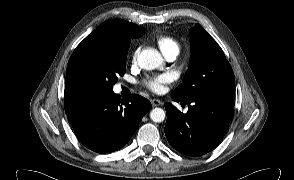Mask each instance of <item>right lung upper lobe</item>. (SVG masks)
<instances>
[{
    "label": "right lung upper lobe",
    "instance_id": "cb5924a9",
    "mask_svg": "<svg viewBox=\"0 0 294 180\" xmlns=\"http://www.w3.org/2000/svg\"><path fill=\"white\" fill-rule=\"evenodd\" d=\"M145 33V28L137 26L122 19H110L98 26L82 42L119 40L130 43L132 38H137Z\"/></svg>",
    "mask_w": 294,
    "mask_h": 180
}]
</instances>
